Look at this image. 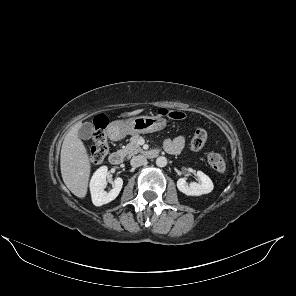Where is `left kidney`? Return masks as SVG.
<instances>
[{
	"label": "left kidney",
	"mask_w": 296,
	"mask_h": 296,
	"mask_svg": "<svg viewBox=\"0 0 296 296\" xmlns=\"http://www.w3.org/2000/svg\"><path fill=\"white\" fill-rule=\"evenodd\" d=\"M197 176L200 179L199 183H187L185 178L178 179V190L187 196H201L210 193L214 188L212 180L202 171H197Z\"/></svg>",
	"instance_id": "1"
}]
</instances>
